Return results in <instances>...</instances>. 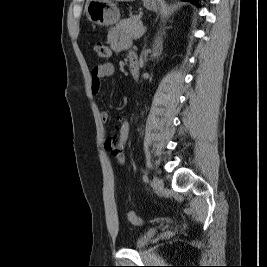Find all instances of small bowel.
Here are the masks:
<instances>
[{
	"label": "small bowel",
	"instance_id": "small-bowel-1",
	"mask_svg": "<svg viewBox=\"0 0 267 267\" xmlns=\"http://www.w3.org/2000/svg\"><path fill=\"white\" fill-rule=\"evenodd\" d=\"M109 44L117 51L126 49L129 47V42L122 39L116 29L110 30L107 36ZM135 56L134 53L130 55ZM115 68L112 63H102L95 66L91 73V92L94 96H98L101 91L102 80L106 77H110L114 74ZM100 119L102 122L107 123L109 121V114L107 111H100ZM115 130L117 135L114 137H108L105 141V149L110 152L117 161L122 164L125 161L123 154L124 146L128 140L130 123L123 116H117L115 118Z\"/></svg>",
	"mask_w": 267,
	"mask_h": 267
}]
</instances>
